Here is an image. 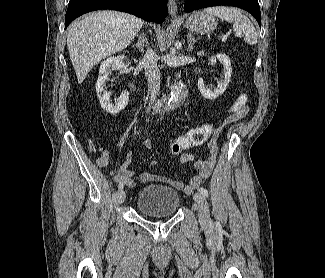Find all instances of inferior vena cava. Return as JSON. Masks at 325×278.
<instances>
[{
  "instance_id": "1",
  "label": "inferior vena cava",
  "mask_w": 325,
  "mask_h": 278,
  "mask_svg": "<svg viewBox=\"0 0 325 278\" xmlns=\"http://www.w3.org/2000/svg\"><path fill=\"white\" fill-rule=\"evenodd\" d=\"M157 60L158 56L152 49L149 48L141 61L142 65L144 66L147 83L151 91V98L149 107L147 109L148 113L151 109V104L156 100L160 89V71L157 66Z\"/></svg>"
}]
</instances>
